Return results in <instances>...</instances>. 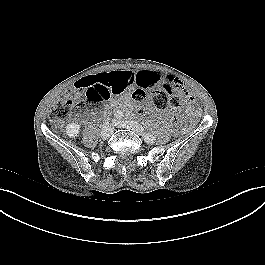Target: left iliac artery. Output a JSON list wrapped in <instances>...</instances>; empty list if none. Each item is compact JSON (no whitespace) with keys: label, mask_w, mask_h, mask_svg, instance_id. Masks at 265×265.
I'll list each match as a JSON object with an SVG mask.
<instances>
[{"label":"left iliac artery","mask_w":265,"mask_h":265,"mask_svg":"<svg viewBox=\"0 0 265 265\" xmlns=\"http://www.w3.org/2000/svg\"><path fill=\"white\" fill-rule=\"evenodd\" d=\"M144 137H145V139H147V140H151V139L154 138V136L151 135V134H145Z\"/></svg>","instance_id":"1"}]
</instances>
